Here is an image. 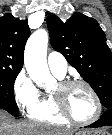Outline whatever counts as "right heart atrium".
Listing matches in <instances>:
<instances>
[{"mask_svg": "<svg viewBox=\"0 0 112 135\" xmlns=\"http://www.w3.org/2000/svg\"><path fill=\"white\" fill-rule=\"evenodd\" d=\"M13 95L18 108L28 114L37 108L42 100L40 90L25 71H21L15 78Z\"/></svg>", "mask_w": 112, "mask_h": 135, "instance_id": "right-heart-atrium-1", "label": "right heart atrium"}]
</instances>
